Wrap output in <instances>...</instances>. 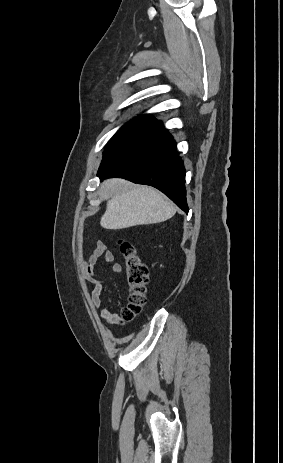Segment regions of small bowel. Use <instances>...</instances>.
Here are the masks:
<instances>
[{"label": "small bowel", "mask_w": 283, "mask_h": 463, "mask_svg": "<svg viewBox=\"0 0 283 463\" xmlns=\"http://www.w3.org/2000/svg\"><path fill=\"white\" fill-rule=\"evenodd\" d=\"M101 258H103L105 262L113 264V272H122V265L119 262L114 261V253L107 249L106 243L103 240L96 241L92 254L89 258L82 260L84 276L88 282L93 284L90 299L92 305L96 308L100 307L101 295L106 286V281L104 279L97 278L94 274V268ZM101 317L107 323H114L118 320L119 314L112 312L109 307H104L101 310Z\"/></svg>", "instance_id": "obj_1"}]
</instances>
